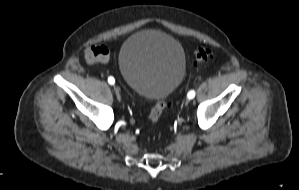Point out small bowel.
<instances>
[{
	"instance_id": "c3829d8e",
	"label": "small bowel",
	"mask_w": 299,
	"mask_h": 190,
	"mask_svg": "<svg viewBox=\"0 0 299 190\" xmlns=\"http://www.w3.org/2000/svg\"><path fill=\"white\" fill-rule=\"evenodd\" d=\"M85 56L88 61L107 63L110 60V51L105 46L90 47L86 50Z\"/></svg>"
}]
</instances>
